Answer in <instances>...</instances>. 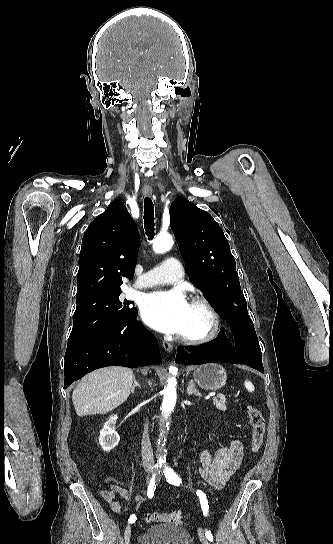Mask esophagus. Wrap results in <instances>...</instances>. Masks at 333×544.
<instances>
[{
	"label": "esophagus",
	"instance_id": "34e87169",
	"mask_svg": "<svg viewBox=\"0 0 333 544\" xmlns=\"http://www.w3.org/2000/svg\"><path fill=\"white\" fill-rule=\"evenodd\" d=\"M143 194L145 196H151L152 195V189L151 188H144L143 189ZM162 346L168 352H172V350H173V345L171 343L167 342V341H163Z\"/></svg>",
	"mask_w": 333,
	"mask_h": 544
}]
</instances>
